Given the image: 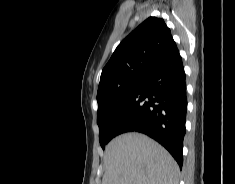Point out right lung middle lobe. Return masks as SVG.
<instances>
[{"label": "right lung middle lobe", "instance_id": "1", "mask_svg": "<svg viewBox=\"0 0 235 184\" xmlns=\"http://www.w3.org/2000/svg\"><path fill=\"white\" fill-rule=\"evenodd\" d=\"M142 79L131 80L121 86L109 89L98 104L97 124L99 126L100 145H105L116 136L113 127L129 102L132 95L141 86Z\"/></svg>", "mask_w": 235, "mask_h": 184}]
</instances>
